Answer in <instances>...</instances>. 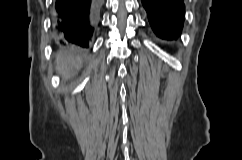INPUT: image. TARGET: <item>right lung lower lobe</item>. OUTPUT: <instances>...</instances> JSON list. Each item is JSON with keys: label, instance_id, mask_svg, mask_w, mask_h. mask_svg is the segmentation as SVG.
<instances>
[{"label": "right lung lower lobe", "instance_id": "obj_1", "mask_svg": "<svg viewBox=\"0 0 242 160\" xmlns=\"http://www.w3.org/2000/svg\"><path fill=\"white\" fill-rule=\"evenodd\" d=\"M102 0H55L53 28L64 45L88 47Z\"/></svg>", "mask_w": 242, "mask_h": 160}]
</instances>
